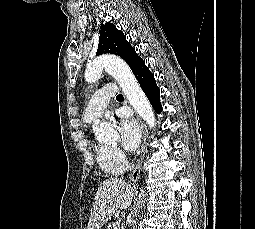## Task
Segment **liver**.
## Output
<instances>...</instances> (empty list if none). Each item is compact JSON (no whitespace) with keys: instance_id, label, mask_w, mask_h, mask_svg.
Wrapping results in <instances>:
<instances>
[{"instance_id":"1","label":"liver","mask_w":255,"mask_h":229,"mask_svg":"<svg viewBox=\"0 0 255 229\" xmlns=\"http://www.w3.org/2000/svg\"><path fill=\"white\" fill-rule=\"evenodd\" d=\"M133 197V187L124 179L104 180L95 195L87 229H100L117 210L131 206Z\"/></svg>"}]
</instances>
